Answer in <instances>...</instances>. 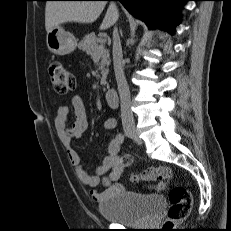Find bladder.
Listing matches in <instances>:
<instances>
[{
  "label": "bladder",
  "mask_w": 231,
  "mask_h": 231,
  "mask_svg": "<svg viewBox=\"0 0 231 231\" xmlns=\"http://www.w3.org/2000/svg\"><path fill=\"white\" fill-rule=\"evenodd\" d=\"M165 207L166 202L160 195L143 197L125 193L100 202L98 210L109 222L139 226L155 220Z\"/></svg>",
  "instance_id": "bladder-1"
}]
</instances>
